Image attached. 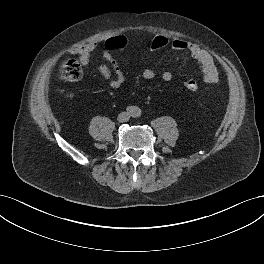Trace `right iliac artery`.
Returning a JSON list of instances; mask_svg holds the SVG:
<instances>
[{"label":"right iliac artery","instance_id":"right-iliac-artery-1","mask_svg":"<svg viewBox=\"0 0 264 264\" xmlns=\"http://www.w3.org/2000/svg\"><path fill=\"white\" fill-rule=\"evenodd\" d=\"M132 110H133V109H132L131 107L128 108V111H129V112H132Z\"/></svg>","mask_w":264,"mask_h":264}]
</instances>
